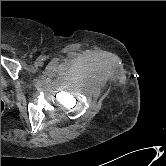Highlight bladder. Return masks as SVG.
<instances>
[{
  "mask_svg": "<svg viewBox=\"0 0 166 166\" xmlns=\"http://www.w3.org/2000/svg\"><path fill=\"white\" fill-rule=\"evenodd\" d=\"M8 87V81L6 77L1 73V90Z\"/></svg>",
  "mask_w": 166,
  "mask_h": 166,
  "instance_id": "31cf9c89",
  "label": "bladder"
}]
</instances>
